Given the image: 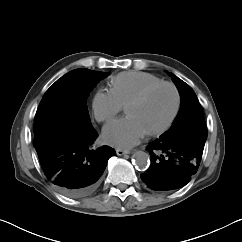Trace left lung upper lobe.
I'll return each mask as SVG.
<instances>
[{
	"label": "left lung upper lobe",
	"mask_w": 242,
	"mask_h": 242,
	"mask_svg": "<svg viewBox=\"0 0 242 242\" xmlns=\"http://www.w3.org/2000/svg\"><path fill=\"white\" fill-rule=\"evenodd\" d=\"M171 75L180 93L181 106L172 126L160 138L173 142L185 140L205 142L207 130L196 94L188 84L174 74Z\"/></svg>",
	"instance_id": "5c2ea615"
}]
</instances>
